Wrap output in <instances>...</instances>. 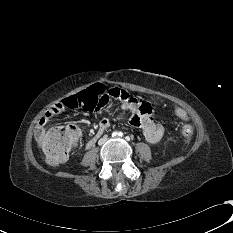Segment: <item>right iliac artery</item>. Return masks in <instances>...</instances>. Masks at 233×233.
Here are the masks:
<instances>
[{"label": "right iliac artery", "mask_w": 233, "mask_h": 233, "mask_svg": "<svg viewBox=\"0 0 233 233\" xmlns=\"http://www.w3.org/2000/svg\"><path fill=\"white\" fill-rule=\"evenodd\" d=\"M117 135H118L117 132H113V133H112V137H116Z\"/></svg>", "instance_id": "82829eb1"}]
</instances>
